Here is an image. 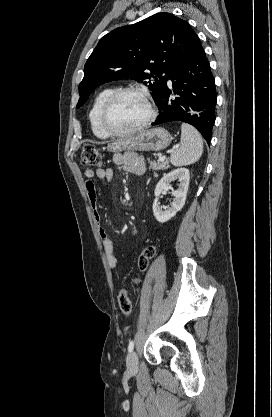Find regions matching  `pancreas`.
Wrapping results in <instances>:
<instances>
[{
    "instance_id": "1",
    "label": "pancreas",
    "mask_w": 272,
    "mask_h": 417,
    "mask_svg": "<svg viewBox=\"0 0 272 417\" xmlns=\"http://www.w3.org/2000/svg\"><path fill=\"white\" fill-rule=\"evenodd\" d=\"M148 161L150 163V168L153 171L164 170V169L169 168V162L168 161H165V162H162V163H157L155 161H150V160H148Z\"/></svg>"
}]
</instances>
